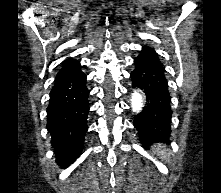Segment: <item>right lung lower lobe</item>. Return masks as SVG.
Segmentation results:
<instances>
[{
  "instance_id": "obj_1",
  "label": "right lung lower lobe",
  "mask_w": 221,
  "mask_h": 193,
  "mask_svg": "<svg viewBox=\"0 0 221 193\" xmlns=\"http://www.w3.org/2000/svg\"><path fill=\"white\" fill-rule=\"evenodd\" d=\"M88 96L81 66L57 74L47 108V128L58 163H73L83 149Z\"/></svg>"
}]
</instances>
